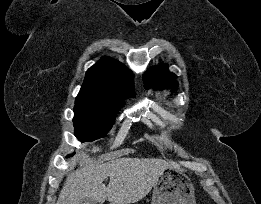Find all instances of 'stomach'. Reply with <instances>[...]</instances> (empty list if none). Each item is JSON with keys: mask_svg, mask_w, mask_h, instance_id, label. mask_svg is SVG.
Returning a JSON list of instances; mask_svg holds the SVG:
<instances>
[{"mask_svg": "<svg viewBox=\"0 0 261 204\" xmlns=\"http://www.w3.org/2000/svg\"><path fill=\"white\" fill-rule=\"evenodd\" d=\"M151 204H196L191 179L172 167L163 170L153 186Z\"/></svg>", "mask_w": 261, "mask_h": 204, "instance_id": "obj_1", "label": "stomach"}]
</instances>
